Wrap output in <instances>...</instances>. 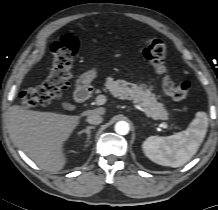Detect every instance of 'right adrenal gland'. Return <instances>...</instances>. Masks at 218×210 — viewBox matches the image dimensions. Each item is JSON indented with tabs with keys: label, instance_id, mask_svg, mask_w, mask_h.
Returning a JSON list of instances; mask_svg holds the SVG:
<instances>
[{
	"label": "right adrenal gland",
	"instance_id": "right-adrenal-gland-1",
	"mask_svg": "<svg viewBox=\"0 0 218 210\" xmlns=\"http://www.w3.org/2000/svg\"><path fill=\"white\" fill-rule=\"evenodd\" d=\"M94 128H95V126H88V127H86V129L80 131L79 135L86 133L87 134V142H88V140L90 139V136H91V129H94Z\"/></svg>",
	"mask_w": 218,
	"mask_h": 210
}]
</instances>
